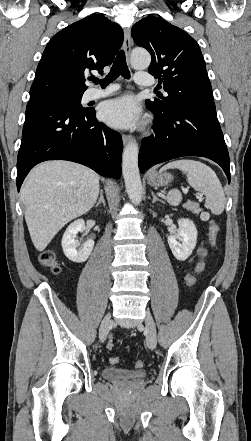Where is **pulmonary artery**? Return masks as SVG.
I'll return each mask as SVG.
<instances>
[{"label":"pulmonary artery","instance_id":"pulmonary-artery-1","mask_svg":"<svg viewBox=\"0 0 251 441\" xmlns=\"http://www.w3.org/2000/svg\"><path fill=\"white\" fill-rule=\"evenodd\" d=\"M135 82L138 85L150 86L154 83V80L149 74H147L145 72H137L135 75ZM116 90H117V86H115V85L107 86L104 89L91 88V89L87 90V92L85 94V99L87 101H90V100L106 97V96L112 94Z\"/></svg>","mask_w":251,"mask_h":441}]
</instances>
